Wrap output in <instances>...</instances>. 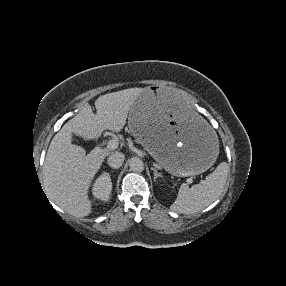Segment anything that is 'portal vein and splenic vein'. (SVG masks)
Here are the masks:
<instances>
[{
	"mask_svg": "<svg viewBox=\"0 0 286 286\" xmlns=\"http://www.w3.org/2000/svg\"><path fill=\"white\" fill-rule=\"evenodd\" d=\"M118 145H119L118 141L113 139V140H110V141L108 142L107 148H108L109 150H115V149L118 148ZM187 182L191 184V183H193V180H192L191 178H188V179H187Z\"/></svg>",
	"mask_w": 286,
	"mask_h": 286,
	"instance_id": "18ae733b",
	"label": "portal vein and splenic vein"
}]
</instances>
